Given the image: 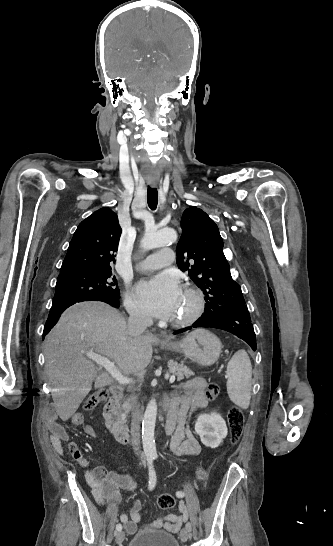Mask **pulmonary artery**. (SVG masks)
Listing matches in <instances>:
<instances>
[{
	"instance_id": "pulmonary-artery-1",
	"label": "pulmonary artery",
	"mask_w": 333,
	"mask_h": 546,
	"mask_svg": "<svg viewBox=\"0 0 333 546\" xmlns=\"http://www.w3.org/2000/svg\"><path fill=\"white\" fill-rule=\"evenodd\" d=\"M174 253L171 249H162L137 263L136 268L140 271H153L170 265Z\"/></svg>"
}]
</instances>
